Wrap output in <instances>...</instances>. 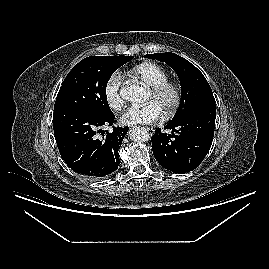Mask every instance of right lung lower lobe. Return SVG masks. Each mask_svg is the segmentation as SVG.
I'll use <instances>...</instances> for the list:
<instances>
[{"instance_id": "98d812e1", "label": "right lung lower lobe", "mask_w": 269, "mask_h": 269, "mask_svg": "<svg viewBox=\"0 0 269 269\" xmlns=\"http://www.w3.org/2000/svg\"><path fill=\"white\" fill-rule=\"evenodd\" d=\"M114 118L112 111L100 113L83 108L54 110L56 143L62 159L73 171L96 180L117 170L120 163L118 149L128 127L113 128L112 132L106 133L101 129L104 125L111 126Z\"/></svg>"}]
</instances>
